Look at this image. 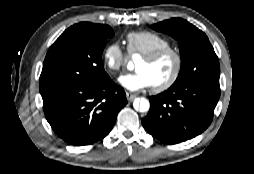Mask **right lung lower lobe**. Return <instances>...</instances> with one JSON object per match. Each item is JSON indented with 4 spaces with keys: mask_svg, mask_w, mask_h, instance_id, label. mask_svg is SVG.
Returning a JSON list of instances; mask_svg holds the SVG:
<instances>
[{
    "mask_svg": "<svg viewBox=\"0 0 254 174\" xmlns=\"http://www.w3.org/2000/svg\"><path fill=\"white\" fill-rule=\"evenodd\" d=\"M41 95L50 126L74 146L90 145L104 138L127 104L124 90L109 76L96 84L65 86Z\"/></svg>",
    "mask_w": 254,
    "mask_h": 174,
    "instance_id": "1",
    "label": "right lung lower lobe"
}]
</instances>
